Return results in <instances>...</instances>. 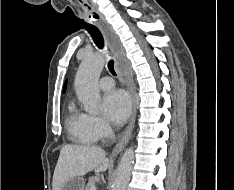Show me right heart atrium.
<instances>
[{
  "label": "right heart atrium",
  "mask_w": 234,
  "mask_h": 190,
  "mask_svg": "<svg viewBox=\"0 0 234 190\" xmlns=\"http://www.w3.org/2000/svg\"><path fill=\"white\" fill-rule=\"evenodd\" d=\"M85 116L90 128L99 139H104L112 133L111 126L105 119L95 115Z\"/></svg>",
  "instance_id": "d8ad5b80"
}]
</instances>
